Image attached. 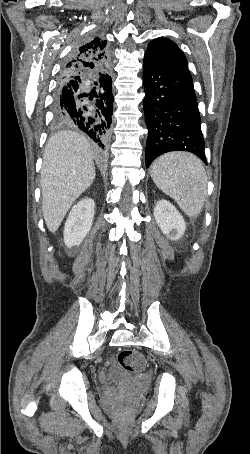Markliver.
<instances>
[{
	"label": "liver",
	"instance_id": "1",
	"mask_svg": "<svg viewBox=\"0 0 250 454\" xmlns=\"http://www.w3.org/2000/svg\"><path fill=\"white\" fill-rule=\"evenodd\" d=\"M88 140L74 131H59L47 142L41 169L42 212L47 228L58 230L74 201L95 178Z\"/></svg>",
	"mask_w": 250,
	"mask_h": 454
}]
</instances>
